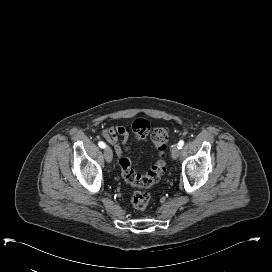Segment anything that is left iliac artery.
<instances>
[{
    "instance_id": "44dca946",
    "label": "left iliac artery",
    "mask_w": 272,
    "mask_h": 272,
    "mask_svg": "<svg viewBox=\"0 0 272 272\" xmlns=\"http://www.w3.org/2000/svg\"><path fill=\"white\" fill-rule=\"evenodd\" d=\"M184 145V141L183 140H180L179 143H178V147L181 149Z\"/></svg>"
}]
</instances>
